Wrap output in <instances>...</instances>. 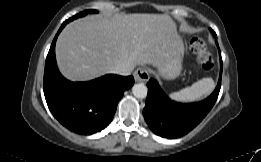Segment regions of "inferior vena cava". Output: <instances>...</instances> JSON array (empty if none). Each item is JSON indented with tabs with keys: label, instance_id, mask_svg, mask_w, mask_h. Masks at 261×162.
Listing matches in <instances>:
<instances>
[{
	"label": "inferior vena cava",
	"instance_id": "inferior-vena-cava-1",
	"mask_svg": "<svg viewBox=\"0 0 261 162\" xmlns=\"http://www.w3.org/2000/svg\"><path fill=\"white\" fill-rule=\"evenodd\" d=\"M134 66H126V65H117L112 68L111 72L114 74H119L122 76H128L133 71Z\"/></svg>",
	"mask_w": 261,
	"mask_h": 162
}]
</instances>
